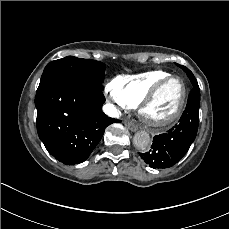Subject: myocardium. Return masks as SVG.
I'll return each instance as SVG.
<instances>
[{"mask_svg": "<svg viewBox=\"0 0 229 229\" xmlns=\"http://www.w3.org/2000/svg\"><path fill=\"white\" fill-rule=\"evenodd\" d=\"M175 79H180L184 84L185 97H184L183 103L181 107L178 109V111L172 117L164 121H156L151 116L150 105L159 95L162 88L166 84L171 83ZM189 97H190L189 88L187 86L185 79L179 75H171V76H168L165 80L163 78H160L159 80L153 82L149 86L148 90L141 97L140 102L137 104V107L141 109L143 119L149 127L156 129V130H163V129H166L172 126L174 123H176L181 118L188 104Z\"/></svg>", "mask_w": 229, "mask_h": 229, "instance_id": "obj_1", "label": "myocardium"}]
</instances>
